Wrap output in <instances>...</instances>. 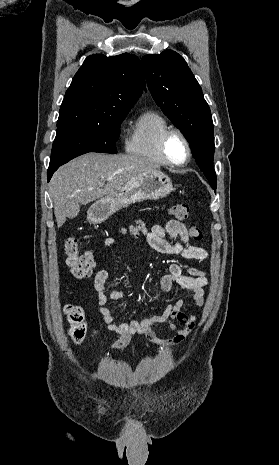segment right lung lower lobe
<instances>
[{"label":"right lung lower lobe","instance_id":"obj_1","mask_svg":"<svg viewBox=\"0 0 279 465\" xmlns=\"http://www.w3.org/2000/svg\"><path fill=\"white\" fill-rule=\"evenodd\" d=\"M58 165L56 166H49L48 168V173H47V178H48V181L51 179L53 173L58 169Z\"/></svg>","mask_w":279,"mask_h":465}]
</instances>
